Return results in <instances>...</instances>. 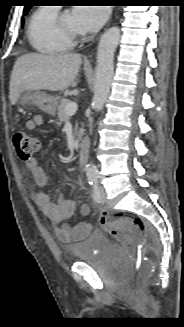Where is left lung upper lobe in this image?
<instances>
[{
	"instance_id": "left-lung-upper-lobe-1",
	"label": "left lung upper lobe",
	"mask_w": 184,
	"mask_h": 327,
	"mask_svg": "<svg viewBox=\"0 0 184 327\" xmlns=\"http://www.w3.org/2000/svg\"><path fill=\"white\" fill-rule=\"evenodd\" d=\"M30 8H31L30 5L25 6V8H24V15L27 14V12L30 10Z\"/></svg>"
}]
</instances>
